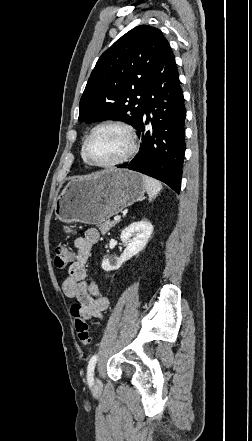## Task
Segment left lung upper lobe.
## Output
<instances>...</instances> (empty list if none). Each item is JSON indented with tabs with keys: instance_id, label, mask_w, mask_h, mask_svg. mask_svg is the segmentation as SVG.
<instances>
[{
	"instance_id": "obj_1",
	"label": "left lung upper lobe",
	"mask_w": 252,
	"mask_h": 441,
	"mask_svg": "<svg viewBox=\"0 0 252 441\" xmlns=\"http://www.w3.org/2000/svg\"><path fill=\"white\" fill-rule=\"evenodd\" d=\"M167 40L161 31L140 25L116 41L99 58L80 100L79 121H142L146 93Z\"/></svg>"
}]
</instances>
